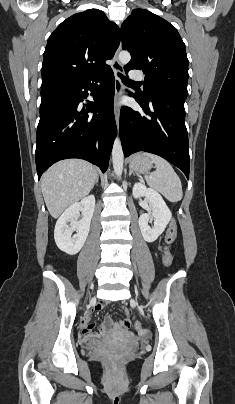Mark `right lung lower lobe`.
<instances>
[{
    "label": "right lung lower lobe",
    "instance_id": "98d812e1",
    "mask_svg": "<svg viewBox=\"0 0 235 404\" xmlns=\"http://www.w3.org/2000/svg\"><path fill=\"white\" fill-rule=\"evenodd\" d=\"M92 88L94 102L82 106ZM114 89L111 68L92 77L41 87L35 153L38 179L52 164L67 158L84 159L100 167L102 172L107 170L117 132Z\"/></svg>",
    "mask_w": 235,
    "mask_h": 404
}]
</instances>
